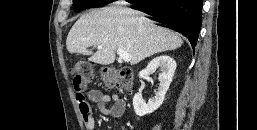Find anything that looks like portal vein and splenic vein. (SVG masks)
Returning a JSON list of instances; mask_svg holds the SVG:
<instances>
[{"label":"portal vein and splenic vein","instance_id":"portal-vein-and-splenic-vein-1","mask_svg":"<svg viewBox=\"0 0 257 130\" xmlns=\"http://www.w3.org/2000/svg\"><path fill=\"white\" fill-rule=\"evenodd\" d=\"M102 49V46H98V50ZM117 54L119 55V58L125 62H130L131 55L127 52H125L122 49H117Z\"/></svg>","mask_w":257,"mask_h":130}]
</instances>
